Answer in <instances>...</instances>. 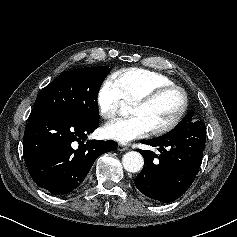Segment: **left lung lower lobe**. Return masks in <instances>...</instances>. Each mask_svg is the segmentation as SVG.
Wrapping results in <instances>:
<instances>
[{
    "mask_svg": "<svg viewBox=\"0 0 237 237\" xmlns=\"http://www.w3.org/2000/svg\"><path fill=\"white\" fill-rule=\"evenodd\" d=\"M185 116L174 130L166 135L142 140L158 152L138 150L145 166L135 179V186L145 196L169 203L182 196L193 183L206 142V126Z\"/></svg>",
    "mask_w": 237,
    "mask_h": 237,
    "instance_id": "left-lung-lower-lobe-1",
    "label": "left lung lower lobe"
}]
</instances>
